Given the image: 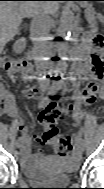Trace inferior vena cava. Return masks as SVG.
Returning a JSON list of instances; mask_svg holds the SVG:
<instances>
[{
    "label": "inferior vena cava",
    "mask_w": 104,
    "mask_h": 189,
    "mask_svg": "<svg viewBox=\"0 0 104 189\" xmlns=\"http://www.w3.org/2000/svg\"><path fill=\"white\" fill-rule=\"evenodd\" d=\"M30 33L34 40V55L36 65H40L38 72L39 83L42 88H47L50 83L46 80L49 76L47 62L44 61V56L47 54L48 41L46 35L48 33V16L44 10H40L33 15V20L30 27Z\"/></svg>",
    "instance_id": "obj_1"
}]
</instances>
